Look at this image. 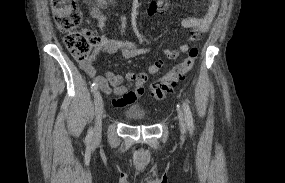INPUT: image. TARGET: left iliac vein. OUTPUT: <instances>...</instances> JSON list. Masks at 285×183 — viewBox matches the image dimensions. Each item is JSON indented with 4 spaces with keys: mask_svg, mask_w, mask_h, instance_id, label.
<instances>
[{
    "mask_svg": "<svg viewBox=\"0 0 285 183\" xmlns=\"http://www.w3.org/2000/svg\"><path fill=\"white\" fill-rule=\"evenodd\" d=\"M178 120H179L180 130L184 134L186 132V123L184 115L181 111L178 112Z\"/></svg>",
    "mask_w": 285,
    "mask_h": 183,
    "instance_id": "4c4485c4",
    "label": "left iliac vein"
}]
</instances>
